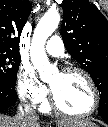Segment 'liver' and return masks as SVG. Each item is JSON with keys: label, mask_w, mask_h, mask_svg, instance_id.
Segmentation results:
<instances>
[{"label": "liver", "mask_w": 108, "mask_h": 127, "mask_svg": "<svg viewBox=\"0 0 108 127\" xmlns=\"http://www.w3.org/2000/svg\"><path fill=\"white\" fill-rule=\"evenodd\" d=\"M58 127L92 126L94 123L88 120H60L56 123ZM0 127H40L38 120L34 121L29 116L24 118L18 115L14 117L0 115Z\"/></svg>", "instance_id": "6515ba94"}]
</instances>
